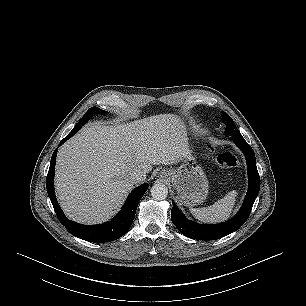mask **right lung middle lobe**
Listing matches in <instances>:
<instances>
[{"mask_svg":"<svg viewBox=\"0 0 306 306\" xmlns=\"http://www.w3.org/2000/svg\"><path fill=\"white\" fill-rule=\"evenodd\" d=\"M93 111H101L104 113L103 110H100L97 107L90 108L82 117V119L77 123V125L73 128V130L69 133L70 135H74L92 116Z\"/></svg>","mask_w":306,"mask_h":306,"instance_id":"right-lung-middle-lobe-1","label":"right lung middle lobe"}]
</instances>
